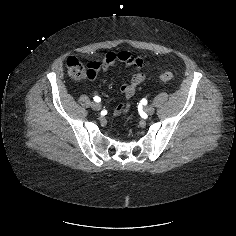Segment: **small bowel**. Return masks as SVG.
<instances>
[{"label": "small bowel", "instance_id": "1", "mask_svg": "<svg viewBox=\"0 0 236 236\" xmlns=\"http://www.w3.org/2000/svg\"><path fill=\"white\" fill-rule=\"evenodd\" d=\"M116 61H120L127 66L135 70L129 83L121 82L119 84L120 93L126 98L130 99L137 86H139L145 80V74L143 69L145 67V61L142 56L133 55L128 51H120L118 53L108 52L102 58L101 61H91L87 64V67L91 71L90 79H95L100 72H105ZM130 105L128 103H120L113 109V115L119 116L129 111Z\"/></svg>", "mask_w": 236, "mask_h": 236}]
</instances>
